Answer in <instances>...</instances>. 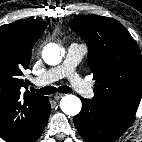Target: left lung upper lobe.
<instances>
[{
    "instance_id": "obj_1",
    "label": "left lung upper lobe",
    "mask_w": 142,
    "mask_h": 142,
    "mask_svg": "<svg viewBox=\"0 0 142 142\" xmlns=\"http://www.w3.org/2000/svg\"><path fill=\"white\" fill-rule=\"evenodd\" d=\"M87 43L88 63L95 82L92 100L119 120L131 124L142 96L139 47L117 20L86 15L70 20Z\"/></svg>"
}]
</instances>
